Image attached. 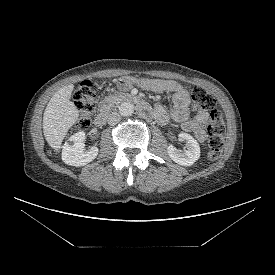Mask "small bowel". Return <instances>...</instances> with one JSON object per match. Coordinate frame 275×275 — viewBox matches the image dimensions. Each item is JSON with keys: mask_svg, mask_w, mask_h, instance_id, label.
I'll return each mask as SVG.
<instances>
[{"mask_svg": "<svg viewBox=\"0 0 275 275\" xmlns=\"http://www.w3.org/2000/svg\"><path fill=\"white\" fill-rule=\"evenodd\" d=\"M134 84L153 92L173 93L171 111L168 113L162 104H156L153 109L154 118L162 125L172 120L176 125L181 126L184 131L192 133L196 140L200 142L205 140V124L208 114L200 111L194 117H190V96L188 91L179 83L172 80L136 79L129 76L121 77L117 82L118 88L122 90L129 89Z\"/></svg>", "mask_w": 275, "mask_h": 275, "instance_id": "small-bowel-1", "label": "small bowel"}]
</instances>
